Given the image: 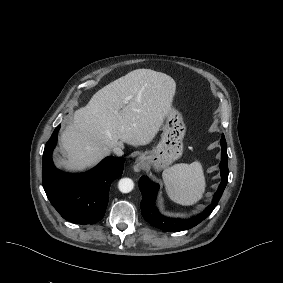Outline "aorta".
Returning <instances> with one entry per match:
<instances>
[{"mask_svg":"<svg viewBox=\"0 0 283 283\" xmlns=\"http://www.w3.org/2000/svg\"><path fill=\"white\" fill-rule=\"evenodd\" d=\"M118 188L122 193H129L134 188V182L130 178H122L118 183Z\"/></svg>","mask_w":283,"mask_h":283,"instance_id":"obj_1","label":"aorta"}]
</instances>
